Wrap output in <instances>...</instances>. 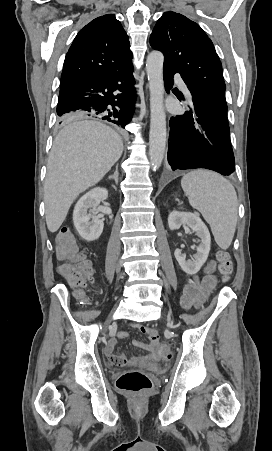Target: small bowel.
I'll return each mask as SVG.
<instances>
[{"mask_svg":"<svg viewBox=\"0 0 272 451\" xmlns=\"http://www.w3.org/2000/svg\"><path fill=\"white\" fill-rule=\"evenodd\" d=\"M215 266H216V264L213 260L209 261L207 263V265L205 266L204 271L206 274V282L210 279L211 274L214 272ZM199 290H200V286H199L197 280H193L186 285L184 294H183V298H182V305L185 308L189 309L192 307L199 306V304L202 301V296L200 295ZM140 331L142 333L146 334L148 336V338H150L151 336H155L157 338L156 334L148 328L141 326ZM121 336L126 337L127 333H122ZM116 346H117L116 339L110 338L106 341L105 349H104L106 357L108 356V352H114V349ZM134 346L139 349H142V350H148V344L143 343L141 341H134ZM107 359H108V357H107Z\"/></svg>","mask_w":272,"mask_h":451,"instance_id":"c3829d8e","label":"small bowel"}]
</instances>
